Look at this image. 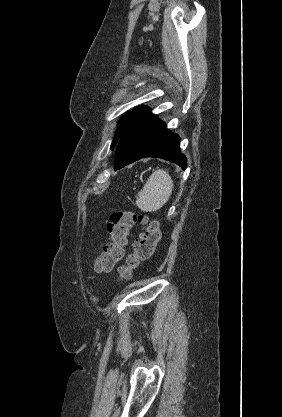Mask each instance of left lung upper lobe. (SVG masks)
Wrapping results in <instances>:
<instances>
[{
    "label": "left lung upper lobe",
    "mask_w": 282,
    "mask_h": 417,
    "mask_svg": "<svg viewBox=\"0 0 282 417\" xmlns=\"http://www.w3.org/2000/svg\"><path fill=\"white\" fill-rule=\"evenodd\" d=\"M130 114H131V112L126 113L121 118V120L118 122V131L116 132V135H115V137L113 139V142L111 144V148H110L111 150H113L117 146V143H118V141L120 139V136H121V133H122L124 123H125V121L127 120V118L129 117Z\"/></svg>",
    "instance_id": "obj_1"
}]
</instances>
